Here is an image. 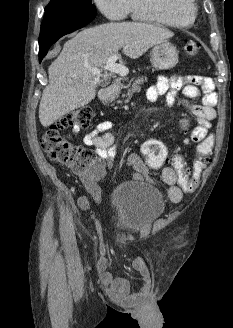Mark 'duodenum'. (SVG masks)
<instances>
[{
	"instance_id": "1",
	"label": "duodenum",
	"mask_w": 233,
	"mask_h": 328,
	"mask_svg": "<svg viewBox=\"0 0 233 328\" xmlns=\"http://www.w3.org/2000/svg\"><path fill=\"white\" fill-rule=\"evenodd\" d=\"M118 91V85L116 83L102 89L99 93V98L102 102H108L112 100Z\"/></svg>"
}]
</instances>
